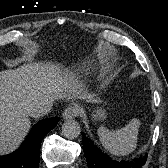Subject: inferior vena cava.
<instances>
[{"label":"inferior vena cava","instance_id":"obj_1","mask_svg":"<svg viewBox=\"0 0 168 168\" xmlns=\"http://www.w3.org/2000/svg\"><path fill=\"white\" fill-rule=\"evenodd\" d=\"M53 102L51 100H46L38 103L30 110L31 117H40L46 115L52 109Z\"/></svg>","mask_w":168,"mask_h":168}]
</instances>
